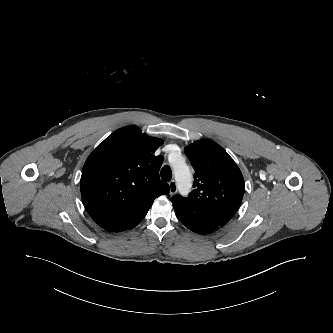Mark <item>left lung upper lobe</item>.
<instances>
[{
    "instance_id": "obj_1",
    "label": "left lung upper lobe",
    "mask_w": 333,
    "mask_h": 333,
    "mask_svg": "<svg viewBox=\"0 0 333 333\" xmlns=\"http://www.w3.org/2000/svg\"><path fill=\"white\" fill-rule=\"evenodd\" d=\"M195 169L194 190L188 197L176 195L171 201L206 204L236 200L240 205L245 184L242 173L233 159L210 139L196 141L185 148Z\"/></svg>"
}]
</instances>
